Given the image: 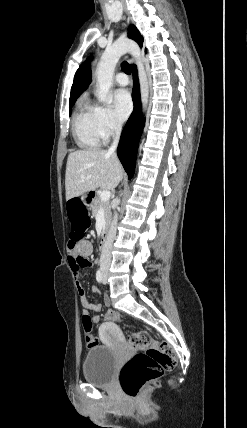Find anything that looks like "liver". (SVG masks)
<instances>
[{"instance_id": "liver-1", "label": "liver", "mask_w": 247, "mask_h": 428, "mask_svg": "<svg viewBox=\"0 0 247 428\" xmlns=\"http://www.w3.org/2000/svg\"><path fill=\"white\" fill-rule=\"evenodd\" d=\"M123 167L116 155L102 149L77 150L69 154L65 174L66 200L98 187L113 190L122 180Z\"/></svg>"}]
</instances>
